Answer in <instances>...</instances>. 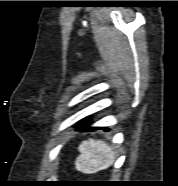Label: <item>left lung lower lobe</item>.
<instances>
[{
  "label": "left lung lower lobe",
  "instance_id": "obj_1",
  "mask_svg": "<svg viewBox=\"0 0 178 186\" xmlns=\"http://www.w3.org/2000/svg\"><path fill=\"white\" fill-rule=\"evenodd\" d=\"M88 119H90V117H86V118L82 119L80 122H78V127H81V128H83L85 130L98 129V127H91L90 125H91L92 121L88 120ZM103 129L109 130V129L105 128V127Z\"/></svg>",
  "mask_w": 178,
  "mask_h": 186
}]
</instances>
